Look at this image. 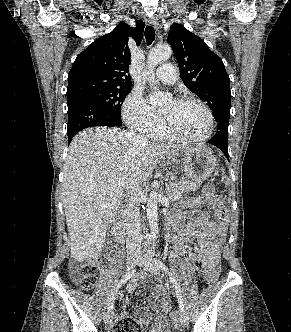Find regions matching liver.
<instances>
[{
  "label": "liver",
  "instance_id": "liver-1",
  "mask_svg": "<svg viewBox=\"0 0 291 332\" xmlns=\"http://www.w3.org/2000/svg\"><path fill=\"white\" fill-rule=\"evenodd\" d=\"M188 148L132 141L129 132L95 127L79 132L64 166L63 205L71 240V258H95L103 248L107 226L119 213L121 198L142 184L157 164Z\"/></svg>",
  "mask_w": 291,
  "mask_h": 332
}]
</instances>
